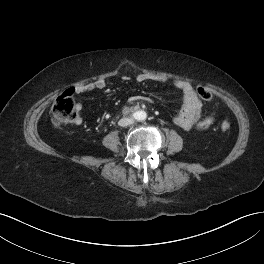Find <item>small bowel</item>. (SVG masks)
<instances>
[{
    "mask_svg": "<svg viewBox=\"0 0 264 264\" xmlns=\"http://www.w3.org/2000/svg\"><path fill=\"white\" fill-rule=\"evenodd\" d=\"M123 80H129V77H123ZM158 81L163 82L165 79L163 77H152L148 74H139L136 77V81L139 83H143L146 81ZM106 86V82L104 79H98L94 82L78 85L74 88V92L76 94H82L86 92H90L93 90L103 89ZM174 86L177 90L182 93V104L178 111V114L174 118V123L182 128L183 130H190L195 122L199 119L201 114L202 103L198 98L195 89L193 86L186 81H176ZM131 102L133 101H151L149 97L145 96H133L129 99ZM82 119L78 117L75 120L76 124H80Z\"/></svg>",
    "mask_w": 264,
    "mask_h": 264,
    "instance_id": "obj_1",
    "label": "small bowel"
}]
</instances>
